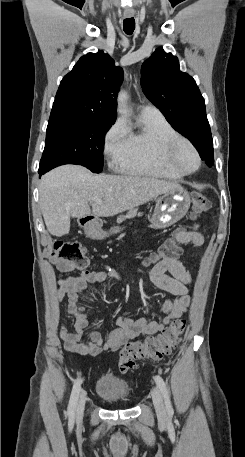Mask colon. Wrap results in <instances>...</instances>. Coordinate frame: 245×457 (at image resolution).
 <instances>
[{
    "mask_svg": "<svg viewBox=\"0 0 245 457\" xmlns=\"http://www.w3.org/2000/svg\"><path fill=\"white\" fill-rule=\"evenodd\" d=\"M192 203L195 214H201L210 207L209 200L201 192L193 194ZM180 251L176 237L170 238L146 260L145 264L153 265L164 259L174 258ZM52 256L55 259L72 262L79 269H85L88 266L86 249L76 241H54ZM185 329L186 321L177 319L156 336H149L144 341L126 343L117 356L119 370L126 374L135 368L138 359L160 360L168 356L179 345Z\"/></svg>",
    "mask_w": 245,
    "mask_h": 457,
    "instance_id": "5ec220e1",
    "label": "colon"
}]
</instances>
